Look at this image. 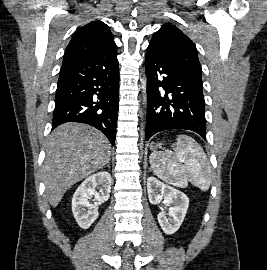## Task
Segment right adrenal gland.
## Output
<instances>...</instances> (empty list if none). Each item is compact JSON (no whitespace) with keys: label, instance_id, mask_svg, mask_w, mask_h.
<instances>
[{"label":"right adrenal gland","instance_id":"right-adrenal-gland-1","mask_svg":"<svg viewBox=\"0 0 267 270\" xmlns=\"http://www.w3.org/2000/svg\"><path fill=\"white\" fill-rule=\"evenodd\" d=\"M105 167L110 168V162L105 165Z\"/></svg>","mask_w":267,"mask_h":270}]
</instances>
